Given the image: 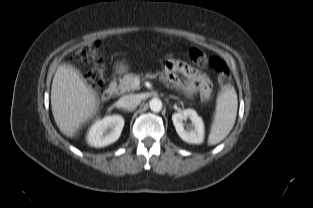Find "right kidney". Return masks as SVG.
<instances>
[{
  "instance_id": "ca27d5eb",
  "label": "right kidney",
  "mask_w": 313,
  "mask_h": 208,
  "mask_svg": "<svg viewBox=\"0 0 313 208\" xmlns=\"http://www.w3.org/2000/svg\"><path fill=\"white\" fill-rule=\"evenodd\" d=\"M124 119L120 115H110L96 121L90 128L87 140L93 147L108 146L121 135Z\"/></svg>"
}]
</instances>
